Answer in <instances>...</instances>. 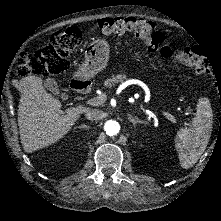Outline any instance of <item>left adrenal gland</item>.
Masks as SVG:
<instances>
[{
    "mask_svg": "<svg viewBox=\"0 0 221 221\" xmlns=\"http://www.w3.org/2000/svg\"><path fill=\"white\" fill-rule=\"evenodd\" d=\"M128 117H129V121L130 122H136V121H141L142 119L141 118H138L136 115H130L128 114Z\"/></svg>",
    "mask_w": 221,
    "mask_h": 221,
    "instance_id": "a2214340",
    "label": "left adrenal gland"
}]
</instances>
